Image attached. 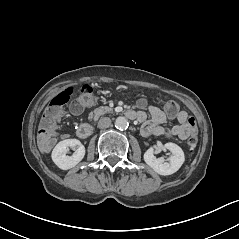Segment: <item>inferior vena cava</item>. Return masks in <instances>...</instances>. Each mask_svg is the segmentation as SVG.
<instances>
[{
	"instance_id": "obj_1",
	"label": "inferior vena cava",
	"mask_w": 239,
	"mask_h": 239,
	"mask_svg": "<svg viewBox=\"0 0 239 239\" xmlns=\"http://www.w3.org/2000/svg\"><path fill=\"white\" fill-rule=\"evenodd\" d=\"M111 125V119L108 117L101 118L98 121L99 128H108Z\"/></svg>"
}]
</instances>
